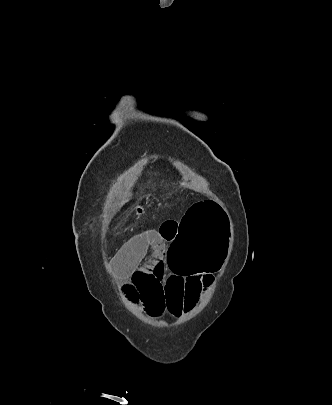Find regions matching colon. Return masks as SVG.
I'll list each match as a JSON object with an SVG mask.
<instances>
[{
    "label": "colon",
    "mask_w": 332,
    "mask_h": 405,
    "mask_svg": "<svg viewBox=\"0 0 332 405\" xmlns=\"http://www.w3.org/2000/svg\"><path fill=\"white\" fill-rule=\"evenodd\" d=\"M227 214L220 211V202L205 197L203 202H191L184 211V220H176V240L168 250L170 268L176 275H213L225 268ZM126 295L136 300L140 292L132 285L124 288Z\"/></svg>",
    "instance_id": "5ec220e1"
}]
</instances>
